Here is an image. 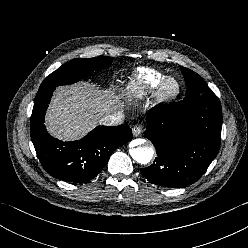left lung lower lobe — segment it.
<instances>
[{
    "mask_svg": "<svg viewBox=\"0 0 248 248\" xmlns=\"http://www.w3.org/2000/svg\"><path fill=\"white\" fill-rule=\"evenodd\" d=\"M221 127V104L215 94L152 108L144 134L153 142L157 157L140 169L142 175L164 187L193 184L219 151Z\"/></svg>",
    "mask_w": 248,
    "mask_h": 248,
    "instance_id": "0a47b994",
    "label": "left lung lower lobe"
}]
</instances>
